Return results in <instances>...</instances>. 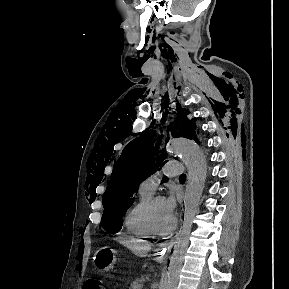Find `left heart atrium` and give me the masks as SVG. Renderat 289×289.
Listing matches in <instances>:
<instances>
[{"label": "left heart atrium", "instance_id": "1", "mask_svg": "<svg viewBox=\"0 0 289 289\" xmlns=\"http://www.w3.org/2000/svg\"><path fill=\"white\" fill-rule=\"evenodd\" d=\"M164 200H165V207H166L167 213L173 219L177 201L179 200V195L174 192H171L169 196Z\"/></svg>", "mask_w": 289, "mask_h": 289}]
</instances>
